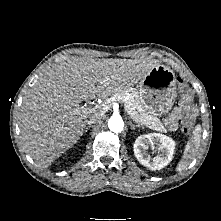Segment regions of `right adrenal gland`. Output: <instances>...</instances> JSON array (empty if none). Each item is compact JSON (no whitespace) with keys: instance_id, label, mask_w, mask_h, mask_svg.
<instances>
[{"instance_id":"right-adrenal-gland-1","label":"right adrenal gland","mask_w":221,"mask_h":221,"mask_svg":"<svg viewBox=\"0 0 221 221\" xmlns=\"http://www.w3.org/2000/svg\"><path fill=\"white\" fill-rule=\"evenodd\" d=\"M88 129H89V126H88V127H86V129L84 130V132L86 133V132L88 131Z\"/></svg>"}]
</instances>
